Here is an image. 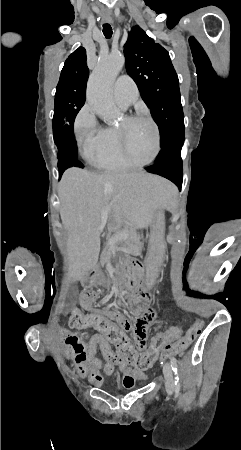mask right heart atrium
I'll use <instances>...</instances> for the list:
<instances>
[{
    "label": "right heart atrium",
    "mask_w": 241,
    "mask_h": 450,
    "mask_svg": "<svg viewBox=\"0 0 241 450\" xmlns=\"http://www.w3.org/2000/svg\"><path fill=\"white\" fill-rule=\"evenodd\" d=\"M89 114L87 109L82 110L78 114L75 129L79 136L75 135V138L79 151L83 155H96L100 147V131L94 125L99 123V118L97 116H89Z\"/></svg>",
    "instance_id": "right-heart-atrium-1"
}]
</instances>
